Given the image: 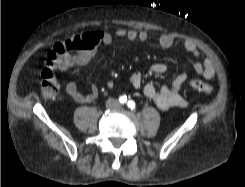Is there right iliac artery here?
<instances>
[{
	"instance_id": "obj_1",
	"label": "right iliac artery",
	"mask_w": 245,
	"mask_h": 187,
	"mask_svg": "<svg viewBox=\"0 0 245 187\" xmlns=\"http://www.w3.org/2000/svg\"><path fill=\"white\" fill-rule=\"evenodd\" d=\"M119 101H120V103L124 104V103L127 102V97H126L125 95H123V96H121V97L119 98Z\"/></svg>"
}]
</instances>
